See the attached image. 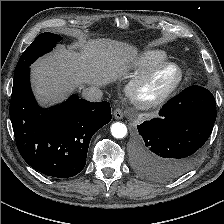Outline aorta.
<instances>
[{
  "label": "aorta",
  "instance_id": "762f6f07",
  "mask_svg": "<svg viewBox=\"0 0 224 224\" xmlns=\"http://www.w3.org/2000/svg\"><path fill=\"white\" fill-rule=\"evenodd\" d=\"M111 133L115 138H124L127 135V127L120 122L113 123L111 126Z\"/></svg>",
  "mask_w": 224,
  "mask_h": 224
}]
</instances>
